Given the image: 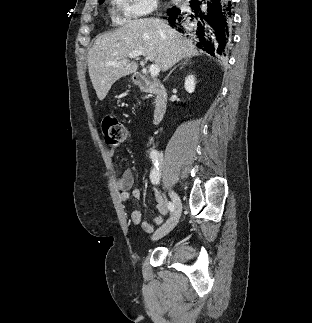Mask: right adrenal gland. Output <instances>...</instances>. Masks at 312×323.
Here are the masks:
<instances>
[{
    "instance_id": "obj_1",
    "label": "right adrenal gland",
    "mask_w": 312,
    "mask_h": 323,
    "mask_svg": "<svg viewBox=\"0 0 312 323\" xmlns=\"http://www.w3.org/2000/svg\"><path fill=\"white\" fill-rule=\"evenodd\" d=\"M188 62H190V58H184V62H182V64H188ZM178 66H181V64H178ZM177 66H175V68H173V70H176ZM173 70H171V72H169L167 78H169L170 74H172Z\"/></svg>"
}]
</instances>
